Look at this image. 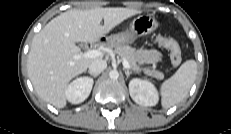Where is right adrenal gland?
I'll list each match as a JSON object with an SVG mask.
<instances>
[{
  "mask_svg": "<svg viewBox=\"0 0 231 134\" xmlns=\"http://www.w3.org/2000/svg\"><path fill=\"white\" fill-rule=\"evenodd\" d=\"M92 77L96 78L98 75L95 74H91L90 72H88Z\"/></svg>",
  "mask_w": 231,
  "mask_h": 134,
  "instance_id": "obj_1",
  "label": "right adrenal gland"
}]
</instances>
